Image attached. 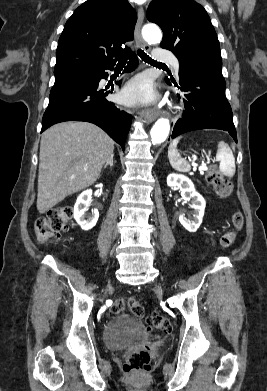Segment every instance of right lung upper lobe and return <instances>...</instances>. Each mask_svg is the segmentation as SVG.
<instances>
[{"instance_id":"right-lung-upper-lobe-1","label":"right lung upper lobe","mask_w":267,"mask_h":391,"mask_svg":"<svg viewBox=\"0 0 267 391\" xmlns=\"http://www.w3.org/2000/svg\"><path fill=\"white\" fill-rule=\"evenodd\" d=\"M135 10L127 0H88L66 22L56 51L55 77L114 65L134 37Z\"/></svg>"}]
</instances>
